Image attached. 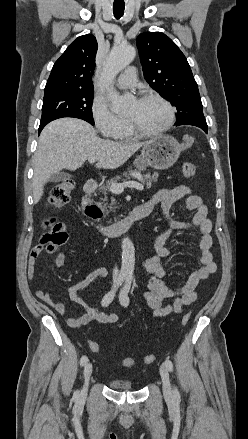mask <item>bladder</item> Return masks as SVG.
<instances>
[{"label": "bladder", "instance_id": "obj_1", "mask_svg": "<svg viewBox=\"0 0 248 439\" xmlns=\"http://www.w3.org/2000/svg\"><path fill=\"white\" fill-rule=\"evenodd\" d=\"M109 385L112 389L119 391H130L133 388L132 383L125 380L112 379L109 381Z\"/></svg>", "mask_w": 248, "mask_h": 439}]
</instances>
